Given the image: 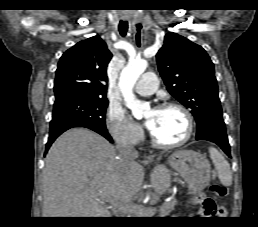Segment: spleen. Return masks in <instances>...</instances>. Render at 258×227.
Instances as JSON below:
<instances>
[{"mask_svg":"<svg viewBox=\"0 0 258 227\" xmlns=\"http://www.w3.org/2000/svg\"><path fill=\"white\" fill-rule=\"evenodd\" d=\"M209 154L220 182L224 186H230L232 184V171L230 164L216 148L209 147Z\"/></svg>","mask_w":258,"mask_h":227,"instance_id":"3e777b00","label":"spleen"}]
</instances>
